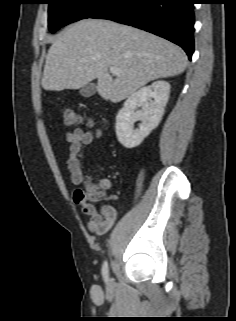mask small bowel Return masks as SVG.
Returning a JSON list of instances; mask_svg holds the SVG:
<instances>
[{
	"label": "small bowel",
	"instance_id": "small-bowel-1",
	"mask_svg": "<svg viewBox=\"0 0 236 321\" xmlns=\"http://www.w3.org/2000/svg\"><path fill=\"white\" fill-rule=\"evenodd\" d=\"M66 140L69 143V157L66 161V168L71 183L78 186L84 182L85 178L81 163L85 156L84 148L92 143L94 133L83 128H76L66 133ZM98 185L102 188L105 195L111 188V182L107 178L100 179ZM73 200L81 208L82 213L89 217L86 226L95 234L101 235L106 233L117 218V211L113 206L102 203L96 208L92 203L82 199L77 194V189L74 191Z\"/></svg>",
	"mask_w": 236,
	"mask_h": 321
}]
</instances>
